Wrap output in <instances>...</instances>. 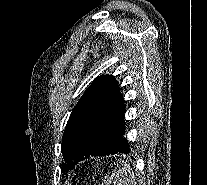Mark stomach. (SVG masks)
I'll list each match as a JSON object with an SVG mask.
<instances>
[{
  "label": "stomach",
  "mask_w": 207,
  "mask_h": 185,
  "mask_svg": "<svg viewBox=\"0 0 207 185\" xmlns=\"http://www.w3.org/2000/svg\"><path fill=\"white\" fill-rule=\"evenodd\" d=\"M75 184H76V180L73 181V185H75Z\"/></svg>",
  "instance_id": "stomach-1"
}]
</instances>
